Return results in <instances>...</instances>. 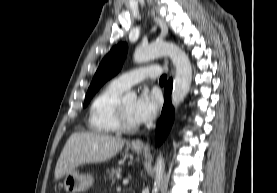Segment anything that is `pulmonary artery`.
Instances as JSON below:
<instances>
[{"mask_svg":"<svg viewBox=\"0 0 277 193\" xmlns=\"http://www.w3.org/2000/svg\"><path fill=\"white\" fill-rule=\"evenodd\" d=\"M160 73V67L152 65L123 73L117 76L112 82L118 87L127 90L133 85L145 80L146 78L158 77Z\"/></svg>","mask_w":277,"mask_h":193,"instance_id":"e3ab8cb5","label":"pulmonary artery"}]
</instances>
